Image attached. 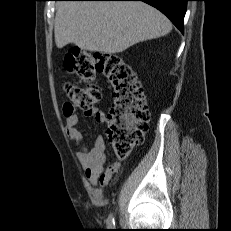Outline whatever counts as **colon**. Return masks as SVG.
Returning <instances> with one entry per match:
<instances>
[{
	"label": "colon",
	"mask_w": 231,
	"mask_h": 231,
	"mask_svg": "<svg viewBox=\"0 0 231 231\" xmlns=\"http://www.w3.org/2000/svg\"><path fill=\"white\" fill-rule=\"evenodd\" d=\"M66 69L87 82L86 86L65 85L69 102L66 111H90L101 99L99 87L93 84L103 74L113 89V100L107 117V134L119 158L141 144L149 127L150 113L140 81L131 66L120 56L74 50L64 58Z\"/></svg>",
	"instance_id": "colon-1"
}]
</instances>
